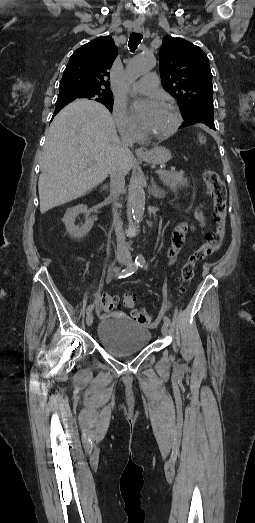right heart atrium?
Segmentation results:
<instances>
[{
    "mask_svg": "<svg viewBox=\"0 0 255 523\" xmlns=\"http://www.w3.org/2000/svg\"><path fill=\"white\" fill-rule=\"evenodd\" d=\"M112 118L123 138L132 140L138 135L137 126L129 116L125 103L120 101L114 102Z\"/></svg>",
    "mask_w": 255,
    "mask_h": 523,
    "instance_id": "1",
    "label": "right heart atrium"
}]
</instances>
